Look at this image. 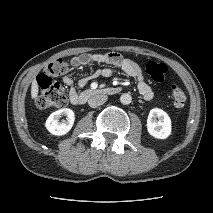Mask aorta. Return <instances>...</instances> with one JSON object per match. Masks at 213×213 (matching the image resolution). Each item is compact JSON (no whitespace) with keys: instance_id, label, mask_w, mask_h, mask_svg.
<instances>
[{"instance_id":"762f6f07","label":"aorta","mask_w":213,"mask_h":213,"mask_svg":"<svg viewBox=\"0 0 213 213\" xmlns=\"http://www.w3.org/2000/svg\"><path fill=\"white\" fill-rule=\"evenodd\" d=\"M132 101V97L130 94L128 93H124L120 96V102L124 105H128L130 104Z\"/></svg>"}]
</instances>
